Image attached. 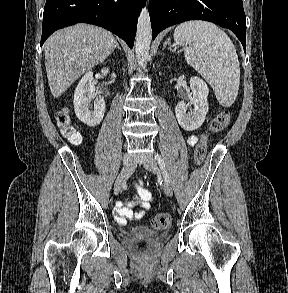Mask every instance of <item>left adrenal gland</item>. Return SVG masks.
<instances>
[{"mask_svg": "<svg viewBox=\"0 0 288 293\" xmlns=\"http://www.w3.org/2000/svg\"><path fill=\"white\" fill-rule=\"evenodd\" d=\"M168 45V49L169 50H172V51H175V50H173V45L170 43V38H168L165 42H164V44H163V50L165 49V47Z\"/></svg>", "mask_w": 288, "mask_h": 293, "instance_id": "obj_1", "label": "left adrenal gland"}]
</instances>
